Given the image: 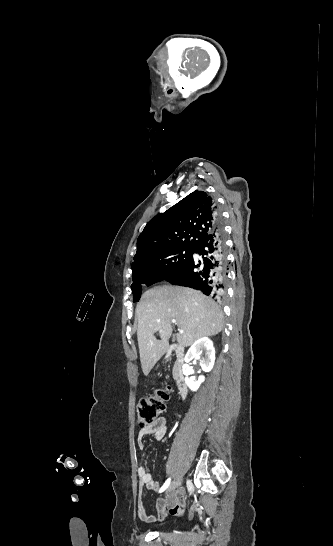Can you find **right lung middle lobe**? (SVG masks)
Returning <instances> with one entry per match:
<instances>
[{
    "label": "right lung middle lobe",
    "instance_id": "right-lung-middle-lobe-1",
    "mask_svg": "<svg viewBox=\"0 0 333 546\" xmlns=\"http://www.w3.org/2000/svg\"><path fill=\"white\" fill-rule=\"evenodd\" d=\"M192 253L193 247H182L166 251L157 256V258L146 265L145 268L133 273V284L131 286L133 291V302H137L140 299L142 292L141 283L151 285L165 280L181 265L188 261Z\"/></svg>",
    "mask_w": 333,
    "mask_h": 546
}]
</instances>
